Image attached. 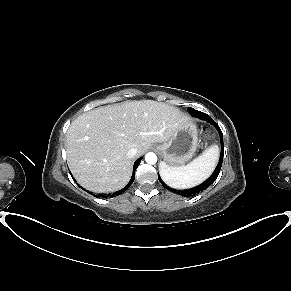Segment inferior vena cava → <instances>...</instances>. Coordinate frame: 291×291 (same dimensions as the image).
Listing matches in <instances>:
<instances>
[{
    "label": "inferior vena cava",
    "mask_w": 291,
    "mask_h": 291,
    "mask_svg": "<svg viewBox=\"0 0 291 291\" xmlns=\"http://www.w3.org/2000/svg\"><path fill=\"white\" fill-rule=\"evenodd\" d=\"M136 155H137V148H135V147H132L127 152V157H129V158H134Z\"/></svg>",
    "instance_id": "1"
}]
</instances>
